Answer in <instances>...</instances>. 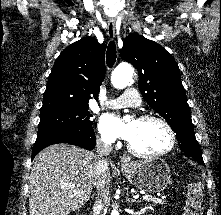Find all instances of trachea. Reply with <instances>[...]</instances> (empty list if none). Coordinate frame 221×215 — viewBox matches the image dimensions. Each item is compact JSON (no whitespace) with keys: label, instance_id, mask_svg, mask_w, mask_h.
Listing matches in <instances>:
<instances>
[{"label":"trachea","instance_id":"trachea-1","mask_svg":"<svg viewBox=\"0 0 221 215\" xmlns=\"http://www.w3.org/2000/svg\"><path fill=\"white\" fill-rule=\"evenodd\" d=\"M116 57H117L116 46H115V43L111 41L109 42L107 52H106V62L109 68H111L114 65L116 61Z\"/></svg>","mask_w":221,"mask_h":215}]
</instances>
